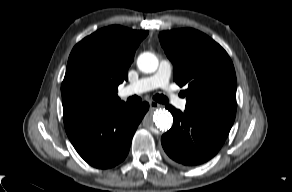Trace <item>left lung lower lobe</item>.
I'll return each instance as SVG.
<instances>
[{"label":"left lung lower lobe","mask_w":292,"mask_h":192,"mask_svg":"<svg viewBox=\"0 0 292 192\" xmlns=\"http://www.w3.org/2000/svg\"><path fill=\"white\" fill-rule=\"evenodd\" d=\"M173 126L161 137L167 155L177 164L194 166L211 159L226 140L233 122L182 113L171 105Z\"/></svg>","instance_id":"1"}]
</instances>
